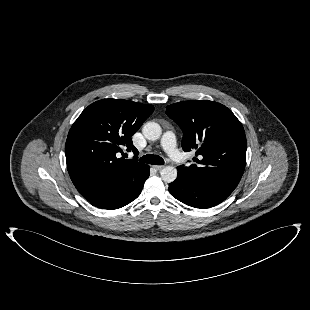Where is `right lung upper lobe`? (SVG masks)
Wrapping results in <instances>:
<instances>
[{"label":"right lung upper lobe","instance_id":"cb5924a9","mask_svg":"<svg viewBox=\"0 0 310 310\" xmlns=\"http://www.w3.org/2000/svg\"><path fill=\"white\" fill-rule=\"evenodd\" d=\"M154 107L122 99H103L89 105L72 125L66 145L71 180L85 199L134 187L148 165L118 158L122 147L138 154L131 137Z\"/></svg>","mask_w":310,"mask_h":310}]
</instances>
